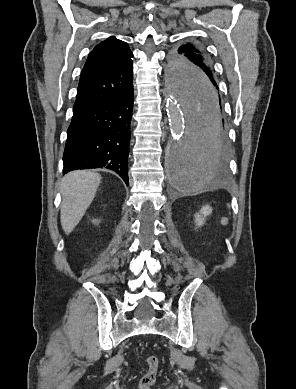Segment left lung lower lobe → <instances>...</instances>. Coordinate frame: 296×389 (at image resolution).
Instances as JSON below:
<instances>
[{
	"label": "left lung lower lobe",
	"mask_w": 296,
	"mask_h": 389,
	"mask_svg": "<svg viewBox=\"0 0 296 389\" xmlns=\"http://www.w3.org/2000/svg\"><path fill=\"white\" fill-rule=\"evenodd\" d=\"M180 88L183 95L192 93L200 97L204 109L209 112L210 121L200 133L192 129L177 160L176 171L188 180L214 177L221 181L226 176L227 123L216 79L197 76L191 85H181Z\"/></svg>",
	"instance_id": "left-lung-lower-lobe-1"
}]
</instances>
